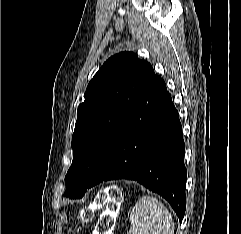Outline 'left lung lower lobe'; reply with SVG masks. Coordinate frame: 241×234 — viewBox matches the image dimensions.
Segmentation results:
<instances>
[{
    "instance_id": "obj_1",
    "label": "left lung lower lobe",
    "mask_w": 241,
    "mask_h": 234,
    "mask_svg": "<svg viewBox=\"0 0 241 234\" xmlns=\"http://www.w3.org/2000/svg\"><path fill=\"white\" fill-rule=\"evenodd\" d=\"M179 115L157 75L127 115L88 188L131 179L164 197L180 222L186 209L187 170Z\"/></svg>"
}]
</instances>
